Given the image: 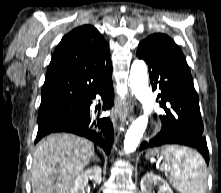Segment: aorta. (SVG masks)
I'll list each match as a JSON object with an SVG mask.
<instances>
[{
	"label": "aorta",
	"mask_w": 221,
	"mask_h": 193,
	"mask_svg": "<svg viewBox=\"0 0 221 193\" xmlns=\"http://www.w3.org/2000/svg\"><path fill=\"white\" fill-rule=\"evenodd\" d=\"M129 83L135 97L141 102L143 115L138 117L130 126L124 139L126 153L134 152L148 124V116L154 106V95L148 84V70L143 60H135L131 65Z\"/></svg>",
	"instance_id": "1"
}]
</instances>
